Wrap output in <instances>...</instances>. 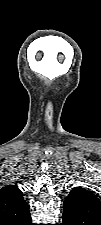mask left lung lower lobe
<instances>
[{
	"instance_id": "obj_1",
	"label": "left lung lower lobe",
	"mask_w": 101,
	"mask_h": 225,
	"mask_svg": "<svg viewBox=\"0 0 101 225\" xmlns=\"http://www.w3.org/2000/svg\"><path fill=\"white\" fill-rule=\"evenodd\" d=\"M62 225H101V220L88 215L76 214L74 212H63Z\"/></svg>"
}]
</instances>
